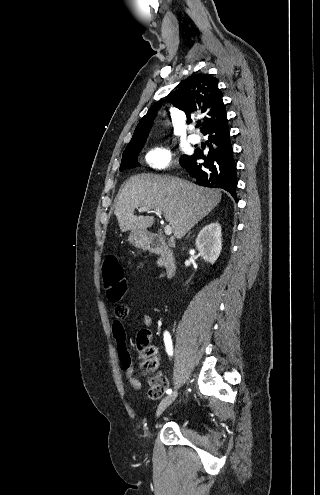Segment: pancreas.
<instances>
[{"mask_svg":"<svg viewBox=\"0 0 320 495\" xmlns=\"http://www.w3.org/2000/svg\"><path fill=\"white\" fill-rule=\"evenodd\" d=\"M158 264L161 265L162 264V261H158Z\"/></svg>","mask_w":320,"mask_h":495,"instance_id":"pancreas-1","label":"pancreas"}]
</instances>
